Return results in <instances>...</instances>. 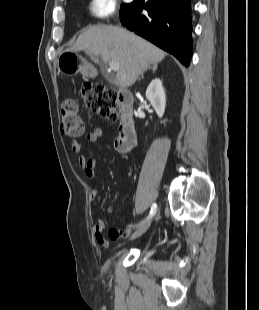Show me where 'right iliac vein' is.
Masks as SVG:
<instances>
[{
  "mask_svg": "<svg viewBox=\"0 0 259 310\" xmlns=\"http://www.w3.org/2000/svg\"><path fill=\"white\" fill-rule=\"evenodd\" d=\"M151 224V220L147 221L146 223H144L141 227H139L131 236V240L136 239L138 237H140L141 235H143L148 228L150 227Z\"/></svg>",
  "mask_w": 259,
  "mask_h": 310,
  "instance_id": "63e3f726",
  "label": "right iliac vein"
}]
</instances>
